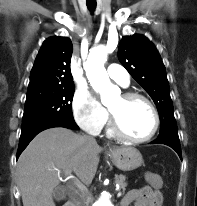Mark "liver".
<instances>
[{
	"mask_svg": "<svg viewBox=\"0 0 197 206\" xmlns=\"http://www.w3.org/2000/svg\"><path fill=\"white\" fill-rule=\"evenodd\" d=\"M102 148L86 136L65 128L39 133L23 151L17 164V181L23 206H55L52 194L60 173L74 172L91 184Z\"/></svg>",
	"mask_w": 197,
	"mask_h": 206,
	"instance_id": "6515ba94",
	"label": "liver"
}]
</instances>
